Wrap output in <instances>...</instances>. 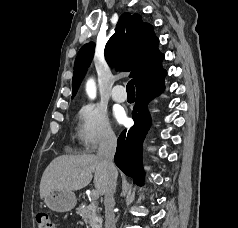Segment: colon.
<instances>
[{
  "mask_svg": "<svg viewBox=\"0 0 238 228\" xmlns=\"http://www.w3.org/2000/svg\"><path fill=\"white\" fill-rule=\"evenodd\" d=\"M37 228H54L53 221L49 213L45 210H39L35 214Z\"/></svg>",
  "mask_w": 238,
  "mask_h": 228,
  "instance_id": "1",
  "label": "colon"
}]
</instances>
